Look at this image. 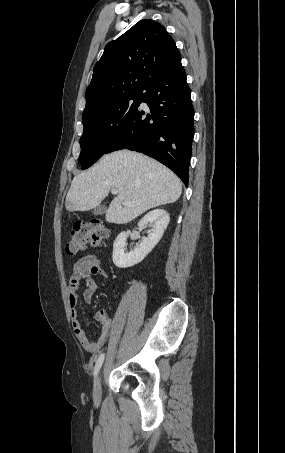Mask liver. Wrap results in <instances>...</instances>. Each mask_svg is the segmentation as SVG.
<instances>
[{
	"instance_id": "1",
	"label": "liver",
	"mask_w": 285,
	"mask_h": 453,
	"mask_svg": "<svg viewBox=\"0 0 285 453\" xmlns=\"http://www.w3.org/2000/svg\"><path fill=\"white\" fill-rule=\"evenodd\" d=\"M110 189H117L118 194L106 210L105 219L109 223L125 224L151 208L177 201L182 184L156 160L120 150L104 155L90 169L73 178L66 196V210L96 208Z\"/></svg>"
}]
</instances>
